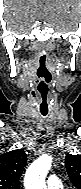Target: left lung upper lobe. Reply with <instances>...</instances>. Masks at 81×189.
<instances>
[{
    "label": "left lung upper lobe",
    "mask_w": 81,
    "mask_h": 189,
    "mask_svg": "<svg viewBox=\"0 0 81 189\" xmlns=\"http://www.w3.org/2000/svg\"><path fill=\"white\" fill-rule=\"evenodd\" d=\"M65 167L71 182L77 189H81V155L67 154Z\"/></svg>",
    "instance_id": "5c2ea615"
}]
</instances>
